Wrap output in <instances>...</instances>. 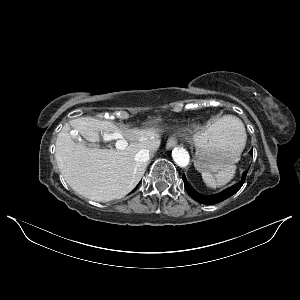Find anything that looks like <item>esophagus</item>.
<instances>
[{
  "label": "esophagus",
  "mask_w": 300,
  "mask_h": 300,
  "mask_svg": "<svg viewBox=\"0 0 300 300\" xmlns=\"http://www.w3.org/2000/svg\"><path fill=\"white\" fill-rule=\"evenodd\" d=\"M177 144V140L175 137H170L168 140H167V143H166V148L167 149H172L173 147H175Z\"/></svg>",
  "instance_id": "1"
}]
</instances>
